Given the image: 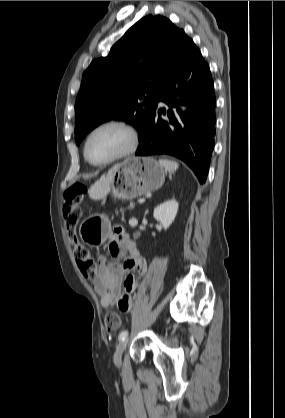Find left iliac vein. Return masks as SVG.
<instances>
[{"label":"left iliac vein","mask_w":285,"mask_h":418,"mask_svg":"<svg viewBox=\"0 0 285 418\" xmlns=\"http://www.w3.org/2000/svg\"><path fill=\"white\" fill-rule=\"evenodd\" d=\"M129 343L128 338H125L124 340H121L119 342V344L117 345L115 354H114V363L117 367L121 366V362H122V354L125 351V349L127 348Z\"/></svg>","instance_id":"left-iliac-vein-1"}]
</instances>
